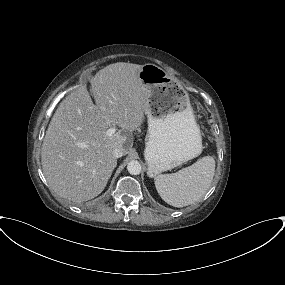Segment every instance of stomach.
<instances>
[{
  "label": "stomach",
  "mask_w": 285,
  "mask_h": 285,
  "mask_svg": "<svg viewBox=\"0 0 285 285\" xmlns=\"http://www.w3.org/2000/svg\"><path fill=\"white\" fill-rule=\"evenodd\" d=\"M139 78L149 92L144 156L148 176L155 177L199 156L202 137L189 95L180 84L151 63L142 66Z\"/></svg>",
  "instance_id": "stomach-1"
}]
</instances>
